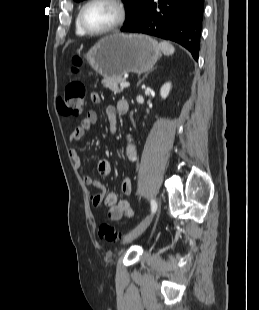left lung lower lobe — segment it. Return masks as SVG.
<instances>
[{"mask_svg":"<svg viewBox=\"0 0 259 310\" xmlns=\"http://www.w3.org/2000/svg\"><path fill=\"white\" fill-rule=\"evenodd\" d=\"M204 0H149L140 16L121 31L175 41L198 60Z\"/></svg>","mask_w":259,"mask_h":310,"instance_id":"left-lung-lower-lobe-1","label":"left lung lower lobe"}]
</instances>
